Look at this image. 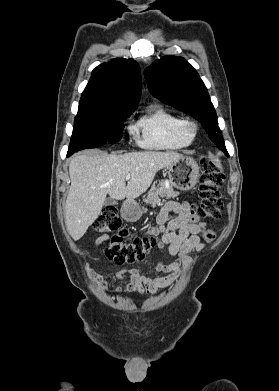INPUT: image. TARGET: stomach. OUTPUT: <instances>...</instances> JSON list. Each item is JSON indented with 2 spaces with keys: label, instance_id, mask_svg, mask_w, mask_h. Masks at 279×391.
Here are the masks:
<instances>
[{
  "label": "stomach",
  "instance_id": "stomach-1",
  "mask_svg": "<svg viewBox=\"0 0 279 391\" xmlns=\"http://www.w3.org/2000/svg\"><path fill=\"white\" fill-rule=\"evenodd\" d=\"M169 180L171 184L181 191L192 189L199 180V166L191 157H182L168 167ZM122 217L135 222L142 216L138 204L132 201L124 203L121 207Z\"/></svg>",
  "mask_w": 279,
  "mask_h": 391
}]
</instances>
